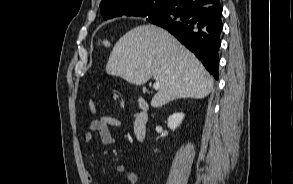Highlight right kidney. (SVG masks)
Instances as JSON below:
<instances>
[{
  "mask_svg": "<svg viewBox=\"0 0 293 184\" xmlns=\"http://www.w3.org/2000/svg\"><path fill=\"white\" fill-rule=\"evenodd\" d=\"M184 118L183 113H174L169 116L167 125L171 130H175L182 122Z\"/></svg>",
  "mask_w": 293,
  "mask_h": 184,
  "instance_id": "right-kidney-1",
  "label": "right kidney"
}]
</instances>
